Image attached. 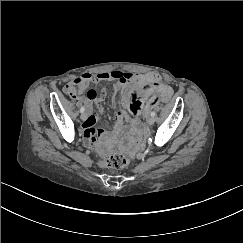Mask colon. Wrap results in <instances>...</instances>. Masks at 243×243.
Segmentation results:
<instances>
[{
  "mask_svg": "<svg viewBox=\"0 0 243 243\" xmlns=\"http://www.w3.org/2000/svg\"><path fill=\"white\" fill-rule=\"evenodd\" d=\"M169 98H164L162 102H167ZM102 165L109 168H123L128 164V159L119 153H113L102 160Z\"/></svg>",
  "mask_w": 243,
  "mask_h": 243,
  "instance_id": "1",
  "label": "colon"
}]
</instances>
